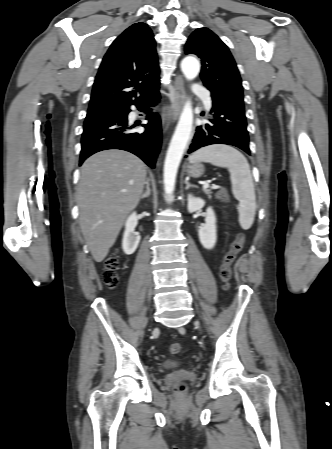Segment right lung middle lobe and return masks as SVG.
I'll return each mask as SVG.
<instances>
[{"instance_id":"obj_1","label":"right lung middle lobe","mask_w":332,"mask_h":449,"mask_svg":"<svg viewBox=\"0 0 332 449\" xmlns=\"http://www.w3.org/2000/svg\"><path fill=\"white\" fill-rule=\"evenodd\" d=\"M112 111H117V110H112ZM107 112H109V111H107ZM102 113H105V112H101V113H93V114H87L86 118L94 117V116H97V115L102 114Z\"/></svg>"}]
</instances>
